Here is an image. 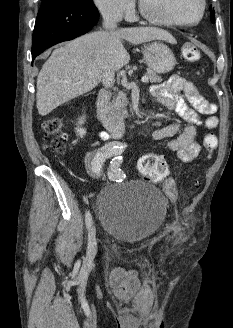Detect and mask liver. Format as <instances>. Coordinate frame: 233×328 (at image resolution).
<instances>
[{
    "instance_id": "6515ba94",
    "label": "liver",
    "mask_w": 233,
    "mask_h": 328,
    "mask_svg": "<svg viewBox=\"0 0 233 328\" xmlns=\"http://www.w3.org/2000/svg\"><path fill=\"white\" fill-rule=\"evenodd\" d=\"M138 45L151 40L175 43L167 31L155 27H129L96 31L57 47L37 77V110L41 116L63 103L94 89L101 81L105 64L115 71L129 63L122 40Z\"/></svg>"
}]
</instances>
